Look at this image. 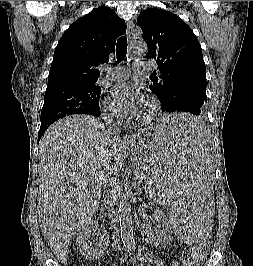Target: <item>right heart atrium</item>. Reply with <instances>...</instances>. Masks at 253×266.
I'll return each mask as SVG.
<instances>
[{
    "instance_id": "d8ad5b80",
    "label": "right heart atrium",
    "mask_w": 253,
    "mask_h": 266,
    "mask_svg": "<svg viewBox=\"0 0 253 266\" xmlns=\"http://www.w3.org/2000/svg\"><path fill=\"white\" fill-rule=\"evenodd\" d=\"M103 116L108 121H118L121 119V113L115 104L107 97L101 103Z\"/></svg>"
}]
</instances>
